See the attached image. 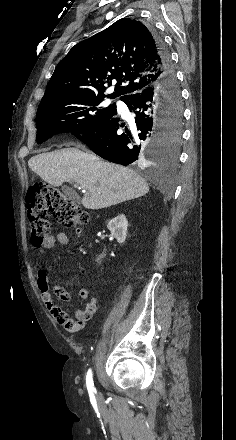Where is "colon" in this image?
Segmentation results:
<instances>
[{
  "instance_id": "colon-1",
  "label": "colon",
  "mask_w": 236,
  "mask_h": 440,
  "mask_svg": "<svg viewBox=\"0 0 236 440\" xmlns=\"http://www.w3.org/2000/svg\"><path fill=\"white\" fill-rule=\"evenodd\" d=\"M28 219L31 226V243L40 246L50 233V215L71 228H78L88 221V213L60 190L40 184L30 187L26 194ZM74 321L71 318L61 320Z\"/></svg>"
}]
</instances>
